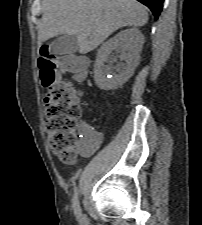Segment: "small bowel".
<instances>
[{"instance_id":"1","label":"small bowel","mask_w":202,"mask_h":225,"mask_svg":"<svg viewBox=\"0 0 202 225\" xmlns=\"http://www.w3.org/2000/svg\"><path fill=\"white\" fill-rule=\"evenodd\" d=\"M81 128L82 130L89 129L90 132L82 134L84 144L79 146V153L84 157H89L104 145V135L95 130L89 121H82Z\"/></svg>"}]
</instances>
